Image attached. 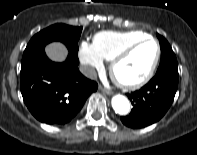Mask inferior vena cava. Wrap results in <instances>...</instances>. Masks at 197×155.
<instances>
[{"mask_svg": "<svg viewBox=\"0 0 197 155\" xmlns=\"http://www.w3.org/2000/svg\"><path fill=\"white\" fill-rule=\"evenodd\" d=\"M80 72L86 76L87 78L90 79H96L97 78V73L96 70L89 65H82L80 66Z\"/></svg>", "mask_w": 197, "mask_h": 155, "instance_id": "inferior-vena-cava-1", "label": "inferior vena cava"}]
</instances>
